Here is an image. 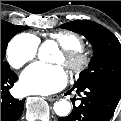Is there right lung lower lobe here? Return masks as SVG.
<instances>
[{
    "mask_svg": "<svg viewBox=\"0 0 121 121\" xmlns=\"http://www.w3.org/2000/svg\"><path fill=\"white\" fill-rule=\"evenodd\" d=\"M18 76L10 67H1V121H17L24 110V100L12 97L9 89Z\"/></svg>",
    "mask_w": 121,
    "mask_h": 121,
    "instance_id": "98d812e1",
    "label": "right lung lower lobe"
}]
</instances>
